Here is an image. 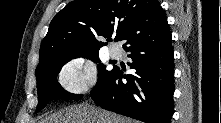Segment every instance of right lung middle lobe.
Here are the masks:
<instances>
[{"label":"right lung middle lobe","instance_id":"obj_1","mask_svg":"<svg viewBox=\"0 0 221 123\" xmlns=\"http://www.w3.org/2000/svg\"><path fill=\"white\" fill-rule=\"evenodd\" d=\"M78 57L89 58L95 63L100 62V59L98 57V51H96V52L63 57L36 68L37 91H38V105L36 111L42 110L47 105V103L52 99L76 100L82 98V95L71 94L65 91L56 79L62 66L71 59ZM97 67H98V82H97L98 84L110 73V71L106 70V66L102 63L98 64Z\"/></svg>","mask_w":221,"mask_h":123}]
</instances>
